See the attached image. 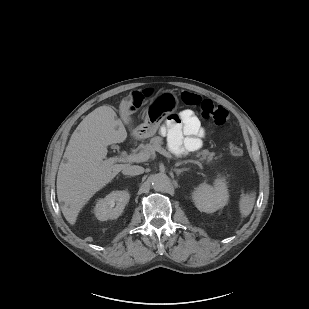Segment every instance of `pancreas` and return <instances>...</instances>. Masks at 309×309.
Masks as SVG:
<instances>
[{
	"label": "pancreas",
	"mask_w": 309,
	"mask_h": 309,
	"mask_svg": "<svg viewBox=\"0 0 309 309\" xmlns=\"http://www.w3.org/2000/svg\"><path fill=\"white\" fill-rule=\"evenodd\" d=\"M163 144V138L159 136H155L151 138L150 142L144 146L141 147V151L148 152L149 154H152L153 152L157 151V149L162 148L161 145ZM170 155V154H169ZM197 157H200V161H207V163H211L213 160H217L220 156L215 157L214 152H209L208 150H201L200 152H197ZM171 157V155H170Z\"/></svg>",
	"instance_id": "pancreas-1"
}]
</instances>
